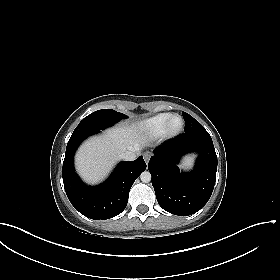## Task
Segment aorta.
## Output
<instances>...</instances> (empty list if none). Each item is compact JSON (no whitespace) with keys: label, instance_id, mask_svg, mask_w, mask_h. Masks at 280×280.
I'll return each mask as SVG.
<instances>
[{"label":"aorta","instance_id":"aorta-1","mask_svg":"<svg viewBox=\"0 0 280 280\" xmlns=\"http://www.w3.org/2000/svg\"><path fill=\"white\" fill-rule=\"evenodd\" d=\"M140 179L144 183L150 182L151 181V174H150V172L149 171L142 172L141 175H140Z\"/></svg>","mask_w":280,"mask_h":280}]
</instances>
